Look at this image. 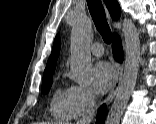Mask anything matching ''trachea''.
I'll return each mask as SVG.
<instances>
[{
	"mask_svg": "<svg viewBox=\"0 0 156 124\" xmlns=\"http://www.w3.org/2000/svg\"><path fill=\"white\" fill-rule=\"evenodd\" d=\"M88 8L94 24L101 34L105 43L110 44L112 41V33L107 23L105 11L100 0H87Z\"/></svg>",
	"mask_w": 156,
	"mask_h": 124,
	"instance_id": "3493384b",
	"label": "trachea"
}]
</instances>
